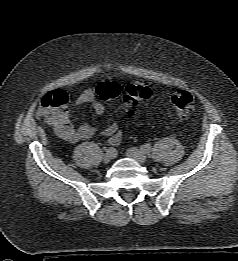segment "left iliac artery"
I'll return each mask as SVG.
<instances>
[{
    "instance_id": "obj_1",
    "label": "left iliac artery",
    "mask_w": 238,
    "mask_h": 261,
    "mask_svg": "<svg viewBox=\"0 0 238 261\" xmlns=\"http://www.w3.org/2000/svg\"><path fill=\"white\" fill-rule=\"evenodd\" d=\"M152 149V145L150 143L144 144L141 146V150L143 153L148 154Z\"/></svg>"
}]
</instances>
